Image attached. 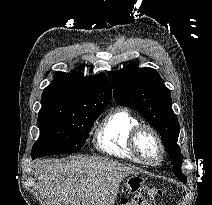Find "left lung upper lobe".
Returning <instances> with one entry per match:
<instances>
[{"mask_svg":"<svg viewBox=\"0 0 212 205\" xmlns=\"http://www.w3.org/2000/svg\"><path fill=\"white\" fill-rule=\"evenodd\" d=\"M108 77L117 104L138 111L159 132L171 158L173 173L186 182L181 172V150L177 145L178 119L171 108L170 90L158 72L149 67L138 68V62H132L119 71L108 72Z\"/></svg>","mask_w":212,"mask_h":205,"instance_id":"5c2ea615","label":"left lung upper lobe"}]
</instances>
